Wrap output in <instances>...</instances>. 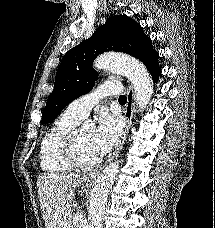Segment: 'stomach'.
Wrapping results in <instances>:
<instances>
[{"instance_id": "1", "label": "stomach", "mask_w": 215, "mask_h": 228, "mask_svg": "<svg viewBox=\"0 0 215 228\" xmlns=\"http://www.w3.org/2000/svg\"><path fill=\"white\" fill-rule=\"evenodd\" d=\"M87 180H88V186H92L89 176H88V178H86V182H87Z\"/></svg>"}]
</instances>
